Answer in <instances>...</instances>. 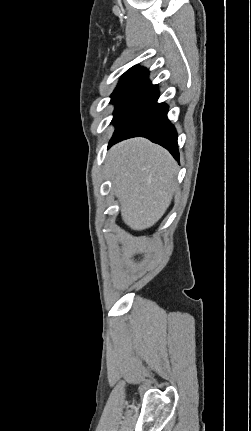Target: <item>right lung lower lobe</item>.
I'll use <instances>...</instances> for the list:
<instances>
[{
    "label": "right lung lower lobe",
    "mask_w": 251,
    "mask_h": 431,
    "mask_svg": "<svg viewBox=\"0 0 251 431\" xmlns=\"http://www.w3.org/2000/svg\"><path fill=\"white\" fill-rule=\"evenodd\" d=\"M159 91L148 72L113 119L116 130L109 146L132 137H145L166 148L179 160L177 133L167 119L168 105L157 103Z\"/></svg>",
    "instance_id": "98d812e1"
}]
</instances>
